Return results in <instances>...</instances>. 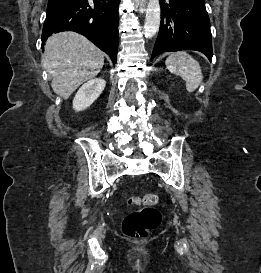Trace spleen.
Masks as SVG:
<instances>
[{"label":"spleen","instance_id":"obj_1","mask_svg":"<svg viewBox=\"0 0 261 273\" xmlns=\"http://www.w3.org/2000/svg\"><path fill=\"white\" fill-rule=\"evenodd\" d=\"M167 69L186 82L188 92H194L203 80L201 67L191 55L185 51L172 53L165 61Z\"/></svg>","mask_w":261,"mask_h":273}]
</instances>
